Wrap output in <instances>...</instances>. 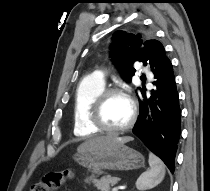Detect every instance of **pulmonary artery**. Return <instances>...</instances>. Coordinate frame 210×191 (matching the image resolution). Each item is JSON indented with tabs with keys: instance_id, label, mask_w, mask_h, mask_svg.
Wrapping results in <instances>:
<instances>
[{
	"instance_id": "e3ab8cb5",
	"label": "pulmonary artery",
	"mask_w": 210,
	"mask_h": 191,
	"mask_svg": "<svg viewBox=\"0 0 210 191\" xmlns=\"http://www.w3.org/2000/svg\"><path fill=\"white\" fill-rule=\"evenodd\" d=\"M141 68H142L141 69L142 72L145 75H150V72L146 68H144V67H141ZM89 78H91L95 81L101 82V83H105V71L103 69L96 70L89 75Z\"/></svg>"
}]
</instances>
